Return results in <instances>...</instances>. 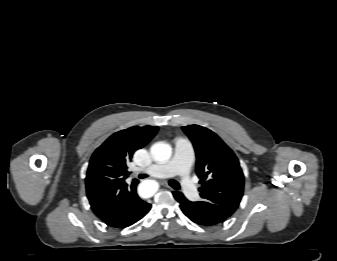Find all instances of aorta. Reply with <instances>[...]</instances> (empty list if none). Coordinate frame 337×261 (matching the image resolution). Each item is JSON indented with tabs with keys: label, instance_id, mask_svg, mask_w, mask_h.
Returning <instances> with one entry per match:
<instances>
[{
	"label": "aorta",
	"instance_id": "obj_1",
	"mask_svg": "<svg viewBox=\"0 0 337 261\" xmlns=\"http://www.w3.org/2000/svg\"><path fill=\"white\" fill-rule=\"evenodd\" d=\"M152 158L160 163L168 161L172 155V148L169 144L158 142L151 146ZM158 190V183L154 180H144L138 186V193L144 198L152 197Z\"/></svg>",
	"mask_w": 337,
	"mask_h": 261
}]
</instances>
